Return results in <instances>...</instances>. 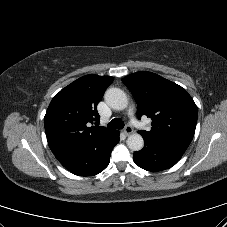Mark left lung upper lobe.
<instances>
[{
  "instance_id": "1",
  "label": "left lung upper lobe",
  "mask_w": 227,
  "mask_h": 227,
  "mask_svg": "<svg viewBox=\"0 0 227 227\" xmlns=\"http://www.w3.org/2000/svg\"><path fill=\"white\" fill-rule=\"evenodd\" d=\"M122 81L137 102L138 119L142 115L152 119L150 131H139L143 138L186 150L198 117L197 106L186 90L151 72L133 73Z\"/></svg>"
}]
</instances>
